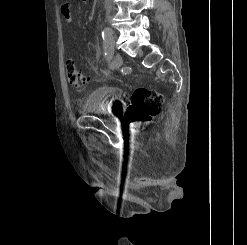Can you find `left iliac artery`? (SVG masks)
I'll list each match as a JSON object with an SVG mask.
<instances>
[{"instance_id": "44dca946", "label": "left iliac artery", "mask_w": 247, "mask_h": 245, "mask_svg": "<svg viewBox=\"0 0 247 245\" xmlns=\"http://www.w3.org/2000/svg\"><path fill=\"white\" fill-rule=\"evenodd\" d=\"M115 37L114 31H110L109 29H104L102 31L105 58H114V45H116V40H114Z\"/></svg>"}]
</instances>
